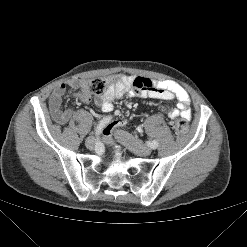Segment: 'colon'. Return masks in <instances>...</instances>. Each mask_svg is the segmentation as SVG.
<instances>
[{
  "label": "colon",
  "mask_w": 247,
  "mask_h": 247,
  "mask_svg": "<svg viewBox=\"0 0 247 247\" xmlns=\"http://www.w3.org/2000/svg\"><path fill=\"white\" fill-rule=\"evenodd\" d=\"M122 76H114L112 81H119ZM109 80L105 78H95L84 83L85 88L88 92L94 95H101L105 92L106 85ZM173 129L175 136H184L187 133L188 126L187 121L184 118H178L173 122ZM112 127L108 126L104 129V135L108 137L111 133Z\"/></svg>",
  "instance_id": "colon-1"
}]
</instances>
